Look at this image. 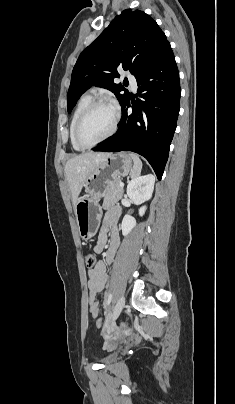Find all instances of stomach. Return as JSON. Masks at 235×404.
Returning a JSON list of instances; mask_svg holds the SVG:
<instances>
[{
  "label": "stomach",
  "mask_w": 235,
  "mask_h": 404,
  "mask_svg": "<svg viewBox=\"0 0 235 404\" xmlns=\"http://www.w3.org/2000/svg\"><path fill=\"white\" fill-rule=\"evenodd\" d=\"M133 169L129 154H109L89 175L84 183L85 195L74 206L78 232L83 240L95 236L102 217L100 198L106 186L113 180L127 176Z\"/></svg>",
  "instance_id": "obj_1"
}]
</instances>
